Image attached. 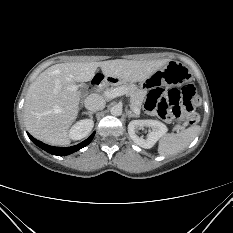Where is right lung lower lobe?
<instances>
[{"mask_svg": "<svg viewBox=\"0 0 233 233\" xmlns=\"http://www.w3.org/2000/svg\"><path fill=\"white\" fill-rule=\"evenodd\" d=\"M27 134H28L29 138L32 140V142L34 144H36L38 147L49 152L50 154L63 156V155H68V154H71L73 152H76V151L80 150L81 148L85 147L86 145H88L92 141V139L95 135V132L88 139L83 141L82 143L75 145V146H71V147H65V148L49 146V145L44 144L41 141L33 138L29 133H27Z\"/></svg>", "mask_w": 233, "mask_h": 233, "instance_id": "obj_1", "label": "right lung lower lobe"}]
</instances>
